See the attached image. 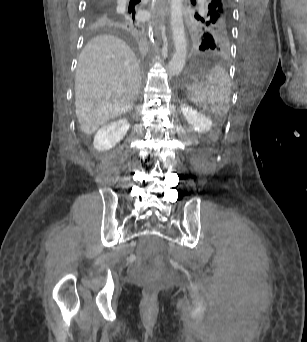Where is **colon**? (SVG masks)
<instances>
[{
    "mask_svg": "<svg viewBox=\"0 0 307 342\" xmlns=\"http://www.w3.org/2000/svg\"><path fill=\"white\" fill-rule=\"evenodd\" d=\"M165 272V267L164 266H159L157 270V275L158 276H163ZM151 282L152 283H157L158 282V277L157 276H152L151 277Z\"/></svg>",
    "mask_w": 307,
    "mask_h": 342,
    "instance_id": "1",
    "label": "colon"
}]
</instances>
